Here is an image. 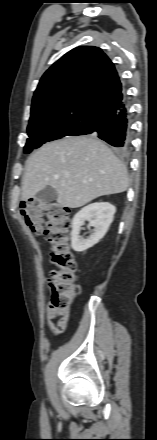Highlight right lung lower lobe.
Masks as SVG:
<instances>
[{
	"instance_id": "right-lung-lower-lobe-1",
	"label": "right lung lower lobe",
	"mask_w": 157,
	"mask_h": 440,
	"mask_svg": "<svg viewBox=\"0 0 157 440\" xmlns=\"http://www.w3.org/2000/svg\"><path fill=\"white\" fill-rule=\"evenodd\" d=\"M87 134L94 133L100 139L121 151L127 150L130 144L131 130L127 102L113 110L100 114L85 124Z\"/></svg>"
}]
</instances>
